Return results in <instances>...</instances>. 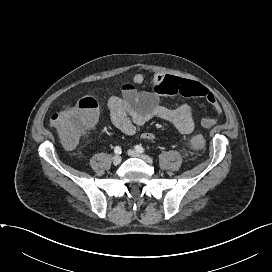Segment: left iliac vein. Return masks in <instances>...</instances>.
<instances>
[{
  "instance_id": "left-iliac-vein-1",
  "label": "left iliac vein",
  "mask_w": 272,
  "mask_h": 272,
  "mask_svg": "<svg viewBox=\"0 0 272 272\" xmlns=\"http://www.w3.org/2000/svg\"><path fill=\"white\" fill-rule=\"evenodd\" d=\"M128 155H130L131 157L140 158V159L144 160L147 163H152L153 162V160L149 156L141 154V153H139V152H137L135 150H128Z\"/></svg>"
}]
</instances>
